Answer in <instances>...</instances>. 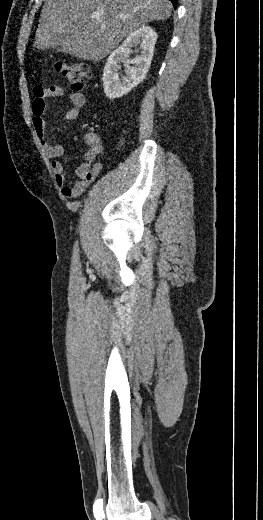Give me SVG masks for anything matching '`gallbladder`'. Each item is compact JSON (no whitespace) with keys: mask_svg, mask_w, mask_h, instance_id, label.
<instances>
[{"mask_svg":"<svg viewBox=\"0 0 263 520\" xmlns=\"http://www.w3.org/2000/svg\"><path fill=\"white\" fill-rule=\"evenodd\" d=\"M65 39H66L65 35H62V36L57 35L56 36V41H60V43H61V41H65Z\"/></svg>","mask_w":263,"mask_h":520,"instance_id":"bac80fb5","label":"gallbladder"}]
</instances>
